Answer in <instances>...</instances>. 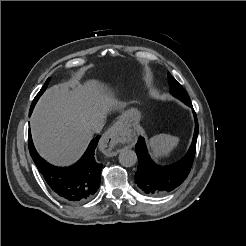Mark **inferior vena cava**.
Wrapping results in <instances>:
<instances>
[{"instance_id": "inferior-vena-cava-1", "label": "inferior vena cava", "mask_w": 246, "mask_h": 246, "mask_svg": "<svg viewBox=\"0 0 246 246\" xmlns=\"http://www.w3.org/2000/svg\"><path fill=\"white\" fill-rule=\"evenodd\" d=\"M105 116L101 113L93 115L88 122V127L91 132L99 133L104 126Z\"/></svg>"}]
</instances>
